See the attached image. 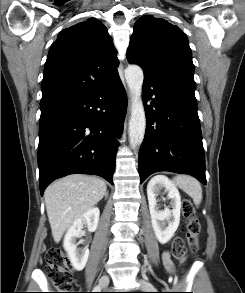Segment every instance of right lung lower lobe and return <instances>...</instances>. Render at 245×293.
<instances>
[{
    "label": "right lung lower lobe",
    "instance_id": "1",
    "mask_svg": "<svg viewBox=\"0 0 245 293\" xmlns=\"http://www.w3.org/2000/svg\"><path fill=\"white\" fill-rule=\"evenodd\" d=\"M127 98L119 75L40 117L38 166L43 195L55 179L98 175L113 184Z\"/></svg>",
    "mask_w": 245,
    "mask_h": 293
}]
</instances>
